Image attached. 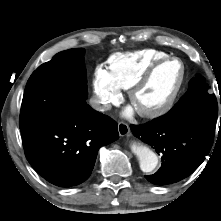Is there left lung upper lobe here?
<instances>
[{
    "label": "left lung upper lobe",
    "instance_id": "1",
    "mask_svg": "<svg viewBox=\"0 0 221 221\" xmlns=\"http://www.w3.org/2000/svg\"><path fill=\"white\" fill-rule=\"evenodd\" d=\"M208 88L203 77L194 78L187 93L166 115L159 117V120L162 122L217 121V100L214 94L208 93Z\"/></svg>",
    "mask_w": 221,
    "mask_h": 221
}]
</instances>
